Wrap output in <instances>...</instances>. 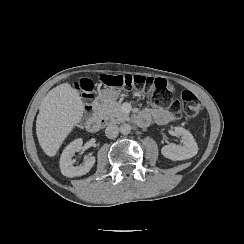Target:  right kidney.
<instances>
[{
	"label": "right kidney",
	"instance_id": "right-kidney-1",
	"mask_svg": "<svg viewBox=\"0 0 244 244\" xmlns=\"http://www.w3.org/2000/svg\"><path fill=\"white\" fill-rule=\"evenodd\" d=\"M83 147L82 139H77L70 143L64 150L60 159V168L64 176L76 177L87 174L93 165L95 164L96 158L94 156L85 157L83 163L80 166H73L72 157L76 152L81 151Z\"/></svg>",
	"mask_w": 244,
	"mask_h": 244
}]
</instances>
